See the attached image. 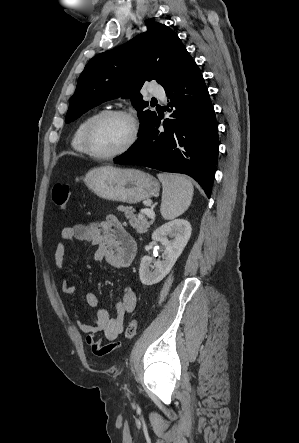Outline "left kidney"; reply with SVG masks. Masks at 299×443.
Listing matches in <instances>:
<instances>
[{"instance_id":"obj_1","label":"left kidney","mask_w":299,"mask_h":443,"mask_svg":"<svg viewBox=\"0 0 299 443\" xmlns=\"http://www.w3.org/2000/svg\"><path fill=\"white\" fill-rule=\"evenodd\" d=\"M191 231V225L187 220L176 219L153 232L152 240L164 246L163 260L154 261L150 256L142 257L139 276L144 285L156 284L170 272L189 241Z\"/></svg>"}]
</instances>
